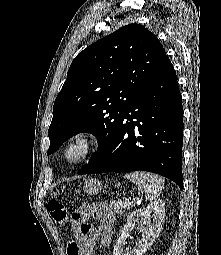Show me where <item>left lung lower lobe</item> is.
I'll return each mask as SVG.
<instances>
[{
  "mask_svg": "<svg viewBox=\"0 0 221 255\" xmlns=\"http://www.w3.org/2000/svg\"><path fill=\"white\" fill-rule=\"evenodd\" d=\"M182 112L177 77L166 55L123 113L105 147L78 174L149 171L171 179L182 190Z\"/></svg>",
  "mask_w": 221,
  "mask_h": 255,
  "instance_id": "obj_1",
  "label": "left lung lower lobe"
}]
</instances>
